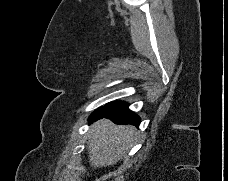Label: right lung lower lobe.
Here are the masks:
<instances>
[{"mask_svg":"<svg viewBox=\"0 0 228 181\" xmlns=\"http://www.w3.org/2000/svg\"><path fill=\"white\" fill-rule=\"evenodd\" d=\"M109 118L116 124H133L138 127L140 118L128 109V105L123 102L109 103L92 113L89 117L90 122L98 120L100 118Z\"/></svg>","mask_w":228,"mask_h":181,"instance_id":"right-lung-lower-lobe-1","label":"right lung lower lobe"}]
</instances>
